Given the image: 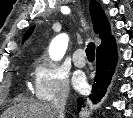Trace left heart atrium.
<instances>
[{
  "instance_id": "left-heart-atrium-1",
  "label": "left heart atrium",
  "mask_w": 133,
  "mask_h": 118,
  "mask_svg": "<svg viewBox=\"0 0 133 118\" xmlns=\"http://www.w3.org/2000/svg\"><path fill=\"white\" fill-rule=\"evenodd\" d=\"M73 83H74L75 88L81 92L84 91L87 87L86 78L81 73H78L74 76Z\"/></svg>"
}]
</instances>
